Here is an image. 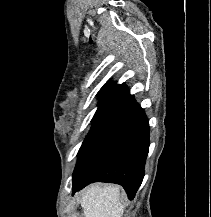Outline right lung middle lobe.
<instances>
[{
	"instance_id": "1",
	"label": "right lung middle lobe",
	"mask_w": 211,
	"mask_h": 217,
	"mask_svg": "<svg viewBox=\"0 0 211 217\" xmlns=\"http://www.w3.org/2000/svg\"><path fill=\"white\" fill-rule=\"evenodd\" d=\"M111 118H94L92 127L86 136L78 153V161L84 156L103 130L113 121ZM77 165V164H76Z\"/></svg>"
}]
</instances>
